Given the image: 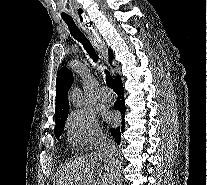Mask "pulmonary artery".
Returning <instances> with one entry per match:
<instances>
[{"label":"pulmonary artery","mask_w":207,"mask_h":185,"mask_svg":"<svg viewBox=\"0 0 207 185\" xmlns=\"http://www.w3.org/2000/svg\"><path fill=\"white\" fill-rule=\"evenodd\" d=\"M97 98L102 103H108L112 101V93L100 89L97 94Z\"/></svg>","instance_id":"obj_1"}]
</instances>
